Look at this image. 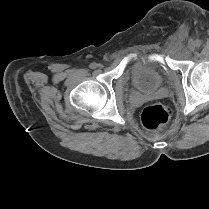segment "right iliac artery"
<instances>
[{
	"instance_id": "right-iliac-artery-1",
	"label": "right iliac artery",
	"mask_w": 209,
	"mask_h": 209,
	"mask_svg": "<svg viewBox=\"0 0 209 209\" xmlns=\"http://www.w3.org/2000/svg\"><path fill=\"white\" fill-rule=\"evenodd\" d=\"M91 69H95L97 67V64L96 63H91L90 66H89Z\"/></svg>"
}]
</instances>
